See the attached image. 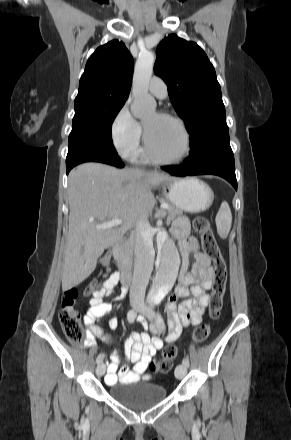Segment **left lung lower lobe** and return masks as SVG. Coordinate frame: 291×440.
Returning a JSON list of instances; mask_svg holds the SVG:
<instances>
[{"instance_id":"1","label":"left lung lower lobe","mask_w":291,"mask_h":440,"mask_svg":"<svg viewBox=\"0 0 291 440\" xmlns=\"http://www.w3.org/2000/svg\"><path fill=\"white\" fill-rule=\"evenodd\" d=\"M174 176L213 174L225 178L237 190L234 155L229 133L219 135L191 153L186 163L161 167Z\"/></svg>"}]
</instances>
